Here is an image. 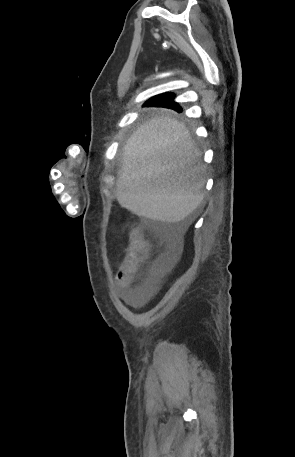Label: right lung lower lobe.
Returning a JSON list of instances; mask_svg holds the SVG:
<instances>
[{"instance_id": "right-lung-lower-lobe-1", "label": "right lung lower lobe", "mask_w": 295, "mask_h": 457, "mask_svg": "<svg viewBox=\"0 0 295 457\" xmlns=\"http://www.w3.org/2000/svg\"><path fill=\"white\" fill-rule=\"evenodd\" d=\"M159 96H156V97H153L152 99H150L147 102V105H161V106H165V107H169V108L175 109L177 111H181V107L178 106L177 103H175L173 101L174 97L173 98H168V99H166L164 101H161V100H159Z\"/></svg>"}]
</instances>
